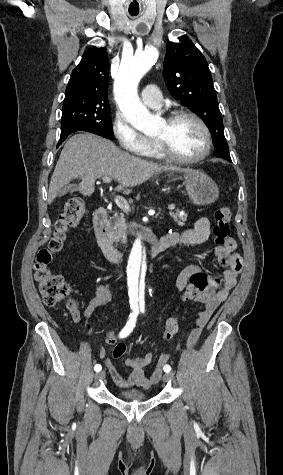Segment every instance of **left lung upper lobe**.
<instances>
[{
  "mask_svg": "<svg viewBox=\"0 0 283 475\" xmlns=\"http://www.w3.org/2000/svg\"><path fill=\"white\" fill-rule=\"evenodd\" d=\"M181 43L168 42L163 76L170 94L197 114L209 127L211 135L224 136L221 112L207 61L186 38Z\"/></svg>",
  "mask_w": 283,
  "mask_h": 475,
  "instance_id": "left-lung-upper-lobe-1",
  "label": "left lung upper lobe"
}]
</instances>
